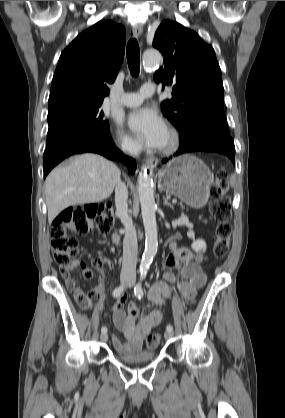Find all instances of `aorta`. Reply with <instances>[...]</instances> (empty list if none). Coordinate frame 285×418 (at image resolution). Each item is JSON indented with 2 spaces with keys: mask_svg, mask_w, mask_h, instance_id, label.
I'll use <instances>...</instances> for the list:
<instances>
[{
  "mask_svg": "<svg viewBox=\"0 0 285 418\" xmlns=\"http://www.w3.org/2000/svg\"><path fill=\"white\" fill-rule=\"evenodd\" d=\"M161 54L156 50H148L143 54V65L146 69L159 66ZM138 193L141 204V215L145 229V250L140 263L141 271L146 272L157 253L158 233L156 223V203L153 178L147 173V166H142L138 175Z\"/></svg>",
  "mask_w": 285,
  "mask_h": 418,
  "instance_id": "1",
  "label": "aorta"
}]
</instances>
